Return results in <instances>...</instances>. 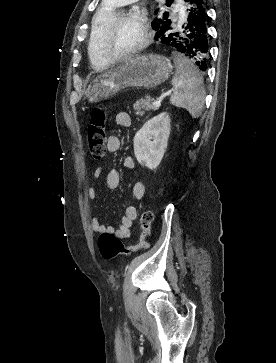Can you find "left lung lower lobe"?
<instances>
[{
  "label": "left lung lower lobe",
  "instance_id": "left-lung-lower-lobe-1",
  "mask_svg": "<svg viewBox=\"0 0 276 363\" xmlns=\"http://www.w3.org/2000/svg\"><path fill=\"white\" fill-rule=\"evenodd\" d=\"M207 0H187V8L180 21L164 26L155 39L181 52L199 69L206 71L208 62Z\"/></svg>",
  "mask_w": 276,
  "mask_h": 363
}]
</instances>
